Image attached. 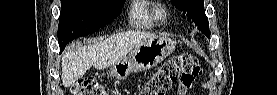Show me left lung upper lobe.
<instances>
[{
  "mask_svg": "<svg viewBox=\"0 0 277 95\" xmlns=\"http://www.w3.org/2000/svg\"><path fill=\"white\" fill-rule=\"evenodd\" d=\"M171 2L188 18H191L202 33L209 37V23L205 15L203 0H171Z\"/></svg>",
  "mask_w": 277,
  "mask_h": 95,
  "instance_id": "left-lung-upper-lobe-1",
  "label": "left lung upper lobe"
}]
</instances>
